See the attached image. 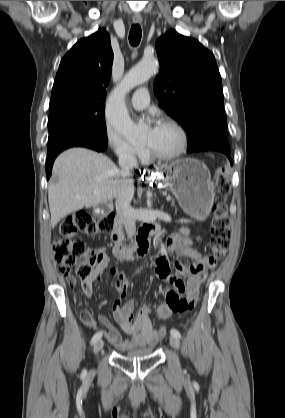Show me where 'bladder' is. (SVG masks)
I'll use <instances>...</instances> for the list:
<instances>
[{
	"mask_svg": "<svg viewBox=\"0 0 285 418\" xmlns=\"http://www.w3.org/2000/svg\"><path fill=\"white\" fill-rule=\"evenodd\" d=\"M152 352V347H144V348H138L133 347L132 349L128 350L125 356L128 357H141V356H148Z\"/></svg>",
	"mask_w": 285,
	"mask_h": 418,
	"instance_id": "bladder-1",
	"label": "bladder"
}]
</instances>
